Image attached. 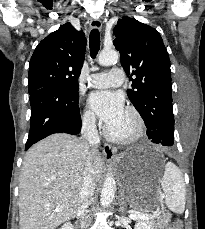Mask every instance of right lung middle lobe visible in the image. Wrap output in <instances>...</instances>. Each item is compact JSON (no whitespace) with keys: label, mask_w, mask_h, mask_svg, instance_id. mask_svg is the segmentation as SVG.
Returning a JSON list of instances; mask_svg holds the SVG:
<instances>
[{"label":"right lung middle lobe","mask_w":205,"mask_h":229,"mask_svg":"<svg viewBox=\"0 0 205 229\" xmlns=\"http://www.w3.org/2000/svg\"><path fill=\"white\" fill-rule=\"evenodd\" d=\"M63 87L72 90L76 95H78V84H65Z\"/></svg>","instance_id":"obj_1"}]
</instances>
